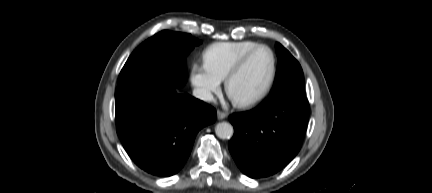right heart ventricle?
Segmentation results:
<instances>
[{
	"mask_svg": "<svg viewBox=\"0 0 432 193\" xmlns=\"http://www.w3.org/2000/svg\"><path fill=\"white\" fill-rule=\"evenodd\" d=\"M258 44L252 40L214 43L204 52V64L219 81H223L232 66Z\"/></svg>",
	"mask_w": 432,
	"mask_h": 193,
	"instance_id": "obj_1",
	"label": "right heart ventricle"
}]
</instances>
